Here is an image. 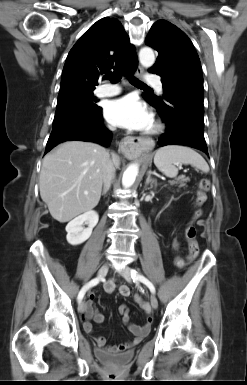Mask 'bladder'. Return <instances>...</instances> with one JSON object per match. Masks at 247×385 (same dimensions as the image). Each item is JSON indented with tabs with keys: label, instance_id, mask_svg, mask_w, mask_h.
<instances>
[{
	"label": "bladder",
	"instance_id": "1",
	"mask_svg": "<svg viewBox=\"0 0 247 385\" xmlns=\"http://www.w3.org/2000/svg\"><path fill=\"white\" fill-rule=\"evenodd\" d=\"M97 352L107 356V353L102 350H98ZM116 357H118L119 362H125L132 357V352H125L124 354H119Z\"/></svg>",
	"mask_w": 247,
	"mask_h": 385
}]
</instances>
